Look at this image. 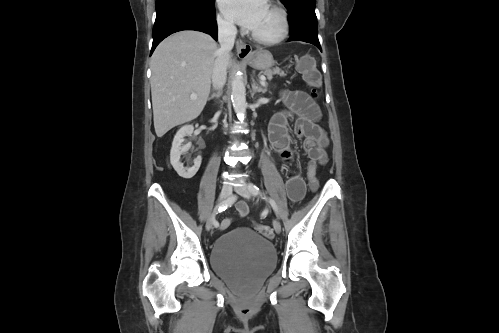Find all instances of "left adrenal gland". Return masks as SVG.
Returning <instances> with one entry per match:
<instances>
[{"instance_id": "left-adrenal-gland-1", "label": "left adrenal gland", "mask_w": 499, "mask_h": 333, "mask_svg": "<svg viewBox=\"0 0 499 333\" xmlns=\"http://www.w3.org/2000/svg\"><path fill=\"white\" fill-rule=\"evenodd\" d=\"M252 82H253V83H252V90H253V92H254V93H256V92H258V93H260V92H261V93H263V94H264V93H266V91H267V88H266V87H265V88L260 87V86H259V85L255 82V80H254V79L252 80Z\"/></svg>"}]
</instances>
